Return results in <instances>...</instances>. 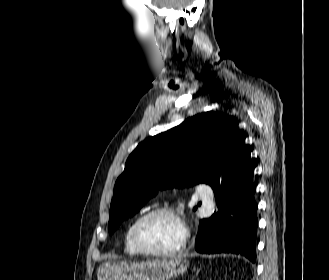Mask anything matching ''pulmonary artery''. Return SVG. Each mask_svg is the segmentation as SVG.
<instances>
[{
    "instance_id": "pulmonary-artery-1",
    "label": "pulmonary artery",
    "mask_w": 329,
    "mask_h": 280,
    "mask_svg": "<svg viewBox=\"0 0 329 280\" xmlns=\"http://www.w3.org/2000/svg\"><path fill=\"white\" fill-rule=\"evenodd\" d=\"M199 190L201 197L204 199L205 202H208L210 200V192H211L210 186L207 184H203L201 185Z\"/></svg>"
}]
</instances>
